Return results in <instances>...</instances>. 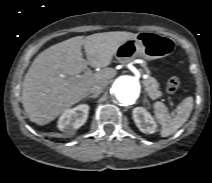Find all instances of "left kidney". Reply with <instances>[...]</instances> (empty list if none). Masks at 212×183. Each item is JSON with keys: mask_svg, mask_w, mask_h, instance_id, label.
<instances>
[{"mask_svg": "<svg viewBox=\"0 0 212 183\" xmlns=\"http://www.w3.org/2000/svg\"><path fill=\"white\" fill-rule=\"evenodd\" d=\"M133 119L141 132L147 134L156 132L157 124L152 115L144 107L133 109Z\"/></svg>", "mask_w": 212, "mask_h": 183, "instance_id": "5707ae66", "label": "left kidney"}]
</instances>
